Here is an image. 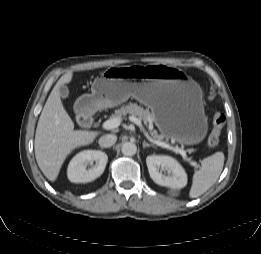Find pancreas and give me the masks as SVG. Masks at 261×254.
<instances>
[{
	"label": "pancreas",
	"instance_id": "1",
	"mask_svg": "<svg viewBox=\"0 0 261 254\" xmlns=\"http://www.w3.org/2000/svg\"><path fill=\"white\" fill-rule=\"evenodd\" d=\"M128 114L137 116L140 120H143L145 124L153 120V115L149 112V110L131 102L123 105L120 109L115 110L113 116L118 118H125ZM151 135L154 139L159 141L162 139V136H160L155 130L151 132Z\"/></svg>",
	"mask_w": 261,
	"mask_h": 254
}]
</instances>
